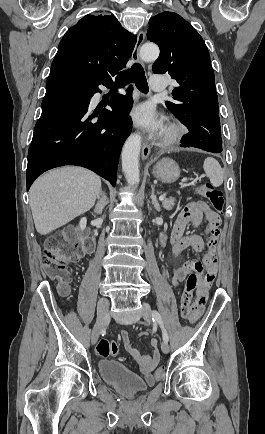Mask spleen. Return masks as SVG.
<instances>
[{
	"mask_svg": "<svg viewBox=\"0 0 265 434\" xmlns=\"http://www.w3.org/2000/svg\"><path fill=\"white\" fill-rule=\"evenodd\" d=\"M204 172L208 176L211 184L218 188L223 184V170L214 158H206L203 164Z\"/></svg>",
	"mask_w": 265,
	"mask_h": 434,
	"instance_id": "spleen-1",
	"label": "spleen"
}]
</instances>
